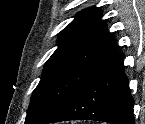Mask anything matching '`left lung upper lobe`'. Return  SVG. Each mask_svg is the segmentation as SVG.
Returning <instances> with one entry per match:
<instances>
[{
    "mask_svg": "<svg viewBox=\"0 0 145 124\" xmlns=\"http://www.w3.org/2000/svg\"><path fill=\"white\" fill-rule=\"evenodd\" d=\"M101 11H81L60 33L33 91L25 124H43L116 53V42Z\"/></svg>",
    "mask_w": 145,
    "mask_h": 124,
    "instance_id": "obj_1",
    "label": "left lung upper lobe"
}]
</instances>
